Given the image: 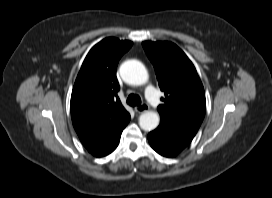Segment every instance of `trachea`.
I'll return each mask as SVG.
<instances>
[{
  "mask_svg": "<svg viewBox=\"0 0 272 198\" xmlns=\"http://www.w3.org/2000/svg\"><path fill=\"white\" fill-rule=\"evenodd\" d=\"M127 104L130 106H139L141 104L140 96L136 94H130L127 98Z\"/></svg>",
  "mask_w": 272,
  "mask_h": 198,
  "instance_id": "obj_1",
  "label": "trachea"
}]
</instances>
